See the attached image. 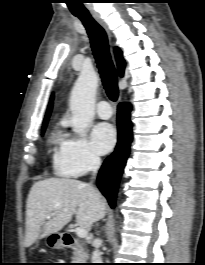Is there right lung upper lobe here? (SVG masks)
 Returning <instances> with one entry per match:
<instances>
[{
	"instance_id": "right-lung-upper-lobe-1",
	"label": "right lung upper lobe",
	"mask_w": 205,
	"mask_h": 265,
	"mask_svg": "<svg viewBox=\"0 0 205 265\" xmlns=\"http://www.w3.org/2000/svg\"><path fill=\"white\" fill-rule=\"evenodd\" d=\"M115 55L117 58V65H118V72L120 76H123L124 73V68H125V62L124 59L122 58V52L120 51L119 48H115ZM52 100H53V95L51 97V102L48 105V109H47V113L43 122V126L47 125L50 113H51V109H52Z\"/></svg>"
}]
</instances>
